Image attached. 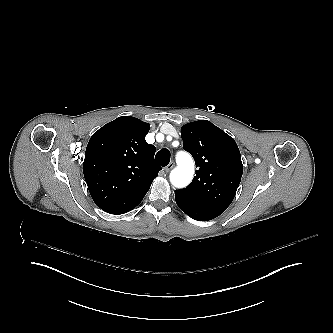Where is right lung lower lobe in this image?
Masks as SVG:
<instances>
[{
	"mask_svg": "<svg viewBox=\"0 0 333 333\" xmlns=\"http://www.w3.org/2000/svg\"><path fill=\"white\" fill-rule=\"evenodd\" d=\"M102 167L93 170L91 178L101 176ZM151 184H138L128 181L122 184V188L113 194L111 199H104L96 203L102 210L110 214H124L135 208L143 199Z\"/></svg>",
	"mask_w": 333,
	"mask_h": 333,
	"instance_id": "98d812e1",
	"label": "right lung lower lobe"
}]
</instances>
